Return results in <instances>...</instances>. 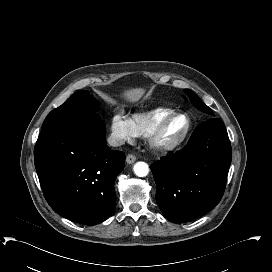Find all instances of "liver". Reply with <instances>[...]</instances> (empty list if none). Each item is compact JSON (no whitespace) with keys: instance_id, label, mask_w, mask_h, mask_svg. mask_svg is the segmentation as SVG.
<instances>
[{"instance_id":"liver-1","label":"liver","mask_w":272,"mask_h":272,"mask_svg":"<svg viewBox=\"0 0 272 272\" xmlns=\"http://www.w3.org/2000/svg\"><path fill=\"white\" fill-rule=\"evenodd\" d=\"M144 94V90L140 88L127 90L123 93V97L130 102L138 101L142 95Z\"/></svg>"}]
</instances>
